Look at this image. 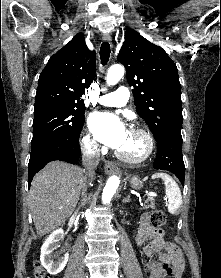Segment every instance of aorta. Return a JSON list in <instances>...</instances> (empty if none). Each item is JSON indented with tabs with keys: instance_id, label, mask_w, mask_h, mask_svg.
<instances>
[{
	"instance_id": "aorta-1",
	"label": "aorta",
	"mask_w": 221,
	"mask_h": 278,
	"mask_svg": "<svg viewBox=\"0 0 221 278\" xmlns=\"http://www.w3.org/2000/svg\"><path fill=\"white\" fill-rule=\"evenodd\" d=\"M123 76H124V67L119 64L112 65L108 70L106 82L109 86L115 85L120 81V79ZM119 184H120V179L118 176L112 175L111 177H109L102 193L103 204L110 203L112 197L116 193L117 188L119 187Z\"/></svg>"
}]
</instances>
